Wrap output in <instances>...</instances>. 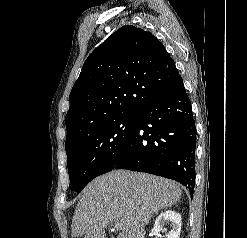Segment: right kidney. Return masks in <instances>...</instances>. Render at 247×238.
Instances as JSON below:
<instances>
[{"mask_svg": "<svg viewBox=\"0 0 247 238\" xmlns=\"http://www.w3.org/2000/svg\"><path fill=\"white\" fill-rule=\"evenodd\" d=\"M171 223L172 229L169 231L167 238H179L181 231V215L173 210H167L161 213L151 230V235H157L160 231L164 229L166 223Z\"/></svg>", "mask_w": 247, "mask_h": 238, "instance_id": "ca27d5eb", "label": "right kidney"}]
</instances>
